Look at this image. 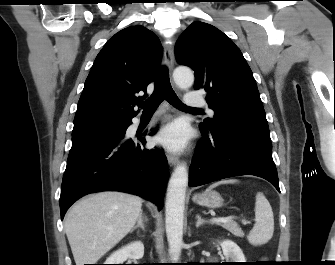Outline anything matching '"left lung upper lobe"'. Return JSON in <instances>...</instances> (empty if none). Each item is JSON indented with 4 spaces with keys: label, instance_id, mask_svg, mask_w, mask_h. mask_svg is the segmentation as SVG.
<instances>
[{
    "label": "left lung upper lobe",
    "instance_id": "obj_1",
    "mask_svg": "<svg viewBox=\"0 0 335 265\" xmlns=\"http://www.w3.org/2000/svg\"><path fill=\"white\" fill-rule=\"evenodd\" d=\"M175 56L179 64L194 70V89H205L215 112L200 124L202 131L232 129L270 140L252 71L228 36L210 24L193 22L178 38Z\"/></svg>",
    "mask_w": 335,
    "mask_h": 265
}]
</instances>
